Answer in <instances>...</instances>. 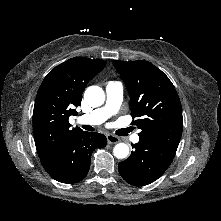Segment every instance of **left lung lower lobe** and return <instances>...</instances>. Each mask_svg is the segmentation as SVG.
<instances>
[{
  "label": "left lung lower lobe",
  "mask_w": 221,
  "mask_h": 221,
  "mask_svg": "<svg viewBox=\"0 0 221 221\" xmlns=\"http://www.w3.org/2000/svg\"><path fill=\"white\" fill-rule=\"evenodd\" d=\"M130 157L118 164L122 178L131 185L144 186L157 180L171 164L177 148L141 138L132 144Z\"/></svg>",
  "instance_id": "left-lung-lower-lobe-1"
}]
</instances>
